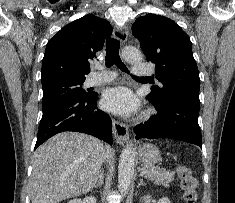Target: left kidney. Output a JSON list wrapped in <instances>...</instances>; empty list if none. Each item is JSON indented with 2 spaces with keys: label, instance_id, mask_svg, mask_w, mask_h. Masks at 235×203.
I'll return each mask as SVG.
<instances>
[{
  "label": "left kidney",
  "instance_id": "5707ae66",
  "mask_svg": "<svg viewBox=\"0 0 235 203\" xmlns=\"http://www.w3.org/2000/svg\"><path fill=\"white\" fill-rule=\"evenodd\" d=\"M150 199H151V196H149V195L143 197L144 203H148L150 201ZM157 203H171V201L168 198L163 197V198L159 199Z\"/></svg>",
  "mask_w": 235,
  "mask_h": 203
}]
</instances>
